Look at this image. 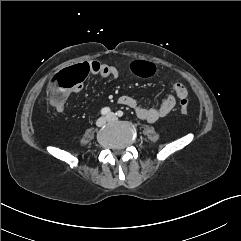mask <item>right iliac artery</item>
Returning a JSON list of instances; mask_svg holds the SVG:
<instances>
[{
  "label": "right iliac artery",
  "instance_id": "82829eb1",
  "mask_svg": "<svg viewBox=\"0 0 241 241\" xmlns=\"http://www.w3.org/2000/svg\"><path fill=\"white\" fill-rule=\"evenodd\" d=\"M110 113V108H108V107H105V108H103L102 110H101V114L102 115H107V114H109Z\"/></svg>",
  "mask_w": 241,
  "mask_h": 241
}]
</instances>
